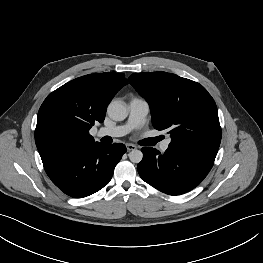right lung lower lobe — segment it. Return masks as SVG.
I'll return each mask as SVG.
<instances>
[{"mask_svg": "<svg viewBox=\"0 0 263 263\" xmlns=\"http://www.w3.org/2000/svg\"><path fill=\"white\" fill-rule=\"evenodd\" d=\"M125 152V145L120 143H86L68 150L45 171L65 194L83 198L109 183Z\"/></svg>", "mask_w": 263, "mask_h": 263, "instance_id": "1", "label": "right lung lower lobe"}]
</instances>
